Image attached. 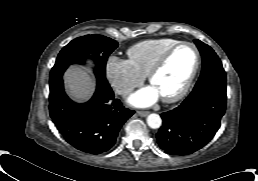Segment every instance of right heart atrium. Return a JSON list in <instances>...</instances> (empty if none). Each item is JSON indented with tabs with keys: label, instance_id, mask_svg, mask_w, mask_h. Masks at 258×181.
Returning <instances> with one entry per match:
<instances>
[{
	"label": "right heart atrium",
	"instance_id": "obj_1",
	"mask_svg": "<svg viewBox=\"0 0 258 181\" xmlns=\"http://www.w3.org/2000/svg\"><path fill=\"white\" fill-rule=\"evenodd\" d=\"M106 76L111 86L121 96L129 95L145 79L128 60L114 56L109 57L106 62Z\"/></svg>",
	"mask_w": 258,
	"mask_h": 181
}]
</instances>
